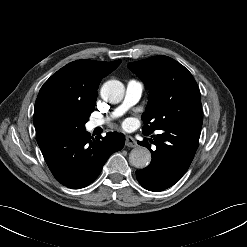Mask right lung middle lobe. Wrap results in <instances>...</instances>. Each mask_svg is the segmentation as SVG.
Instances as JSON below:
<instances>
[{"instance_id": "obj_1", "label": "right lung middle lobe", "mask_w": 247, "mask_h": 247, "mask_svg": "<svg viewBox=\"0 0 247 247\" xmlns=\"http://www.w3.org/2000/svg\"><path fill=\"white\" fill-rule=\"evenodd\" d=\"M93 110L67 106H49L39 115L36 131L56 130L61 132H77L85 129V123Z\"/></svg>"}]
</instances>
